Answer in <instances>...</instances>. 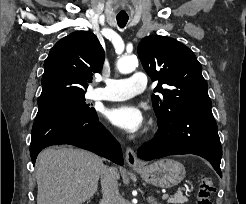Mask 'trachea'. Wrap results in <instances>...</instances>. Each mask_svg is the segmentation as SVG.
Returning <instances> with one entry per match:
<instances>
[{"label":"trachea","mask_w":246,"mask_h":204,"mask_svg":"<svg viewBox=\"0 0 246 204\" xmlns=\"http://www.w3.org/2000/svg\"><path fill=\"white\" fill-rule=\"evenodd\" d=\"M127 22H128V19L117 18V23H118L119 27H121V28L125 27Z\"/></svg>","instance_id":"1"}]
</instances>
